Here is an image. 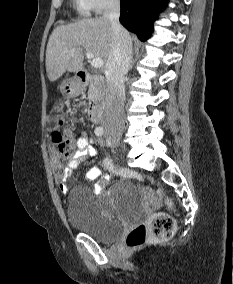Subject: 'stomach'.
I'll use <instances>...</instances> for the list:
<instances>
[{"instance_id": "0dacf381", "label": "stomach", "mask_w": 233, "mask_h": 284, "mask_svg": "<svg viewBox=\"0 0 233 284\" xmlns=\"http://www.w3.org/2000/svg\"><path fill=\"white\" fill-rule=\"evenodd\" d=\"M60 91L66 97L77 96L82 91V84L75 78L68 79L61 83Z\"/></svg>"}]
</instances>
